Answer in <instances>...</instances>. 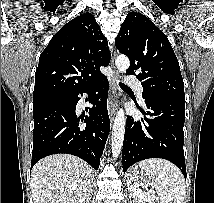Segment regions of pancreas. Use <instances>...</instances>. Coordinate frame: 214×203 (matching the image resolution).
I'll list each match as a JSON object with an SVG mask.
<instances>
[{
	"label": "pancreas",
	"instance_id": "pancreas-1",
	"mask_svg": "<svg viewBox=\"0 0 214 203\" xmlns=\"http://www.w3.org/2000/svg\"><path fill=\"white\" fill-rule=\"evenodd\" d=\"M134 198L137 201V203H155L152 200L140 199L137 195H134Z\"/></svg>",
	"mask_w": 214,
	"mask_h": 203
}]
</instances>
